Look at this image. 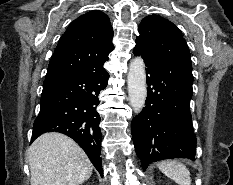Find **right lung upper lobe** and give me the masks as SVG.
<instances>
[{
  "label": "right lung upper lobe",
  "instance_id": "1",
  "mask_svg": "<svg viewBox=\"0 0 233 185\" xmlns=\"http://www.w3.org/2000/svg\"><path fill=\"white\" fill-rule=\"evenodd\" d=\"M109 17L90 11L74 20L62 35L48 65L46 78L102 68L114 49Z\"/></svg>",
  "mask_w": 233,
  "mask_h": 185
}]
</instances>
